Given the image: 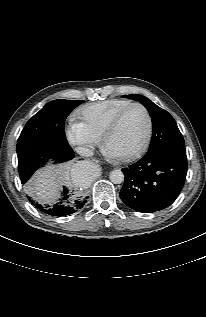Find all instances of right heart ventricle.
Wrapping results in <instances>:
<instances>
[{
  "label": "right heart ventricle",
  "mask_w": 206,
  "mask_h": 317,
  "mask_svg": "<svg viewBox=\"0 0 206 317\" xmlns=\"http://www.w3.org/2000/svg\"><path fill=\"white\" fill-rule=\"evenodd\" d=\"M132 102L126 99H108L83 106L78 116L97 137H101L113 117Z\"/></svg>",
  "instance_id": "1"
}]
</instances>
